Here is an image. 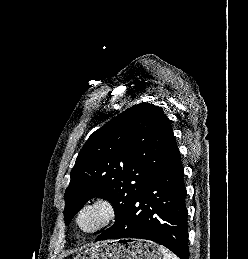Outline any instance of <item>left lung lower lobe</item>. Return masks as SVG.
<instances>
[{
	"mask_svg": "<svg viewBox=\"0 0 248 259\" xmlns=\"http://www.w3.org/2000/svg\"><path fill=\"white\" fill-rule=\"evenodd\" d=\"M180 152L131 202L126 212L95 241L140 238L157 242L189 259L186 189Z\"/></svg>",
	"mask_w": 248,
	"mask_h": 259,
	"instance_id": "1",
	"label": "left lung lower lobe"
}]
</instances>
